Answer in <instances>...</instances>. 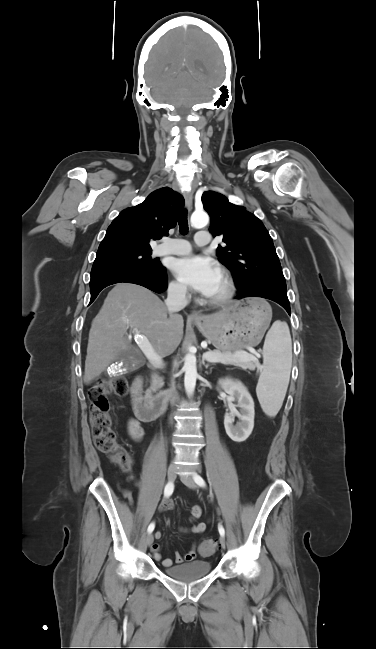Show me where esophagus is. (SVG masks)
Returning <instances> with one entry per match:
<instances>
[{
	"mask_svg": "<svg viewBox=\"0 0 376 649\" xmlns=\"http://www.w3.org/2000/svg\"><path fill=\"white\" fill-rule=\"evenodd\" d=\"M183 196L185 198L186 207L190 211L192 209V206H193V192L191 190H186V191H184ZM191 316L194 319H199L200 318V315L195 311H193L191 313Z\"/></svg>",
	"mask_w": 376,
	"mask_h": 649,
	"instance_id": "esophagus-1",
	"label": "esophagus"
}]
</instances>
